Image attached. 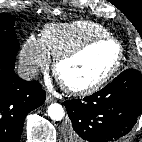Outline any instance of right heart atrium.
<instances>
[{
  "label": "right heart atrium",
  "mask_w": 142,
  "mask_h": 142,
  "mask_svg": "<svg viewBox=\"0 0 142 142\" xmlns=\"http://www.w3.org/2000/svg\"><path fill=\"white\" fill-rule=\"evenodd\" d=\"M20 60L26 74L33 76L39 69H45L49 66L50 56L44 48L42 41L31 36L22 46Z\"/></svg>",
  "instance_id": "1"
}]
</instances>
